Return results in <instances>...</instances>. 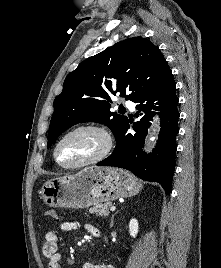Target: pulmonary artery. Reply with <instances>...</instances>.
<instances>
[{
	"label": "pulmonary artery",
	"instance_id": "pulmonary-artery-1",
	"mask_svg": "<svg viewBox=\"0 0 221 268\" xmlns=\"http://www.w3.org/2000/svg\"><path fill=\"white\" fill-rule=\"evenodd\" d=\"M125 106L131 111L135 110V104L132 101H126Z\"/></svg>",
	"mask_w": 221,
	"mask_h": 268
}]
</instances>
